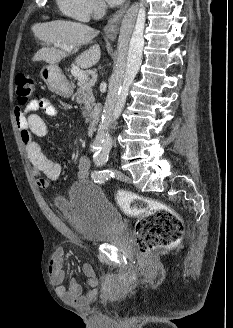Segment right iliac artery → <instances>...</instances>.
I'll return each instance as SVG.
<instances>
[{
  "instance_id": "82829eb1",
  "label": "right iliac artery",
  "mask_w": 233,
  "mask_h": 328,
  "mask_svg": "<svg viewBox=\"0 0 233 328\" xmlns=\"http://www.w3.org/2000/svg\"><path fill=\"white\" fill-rule=\"evenodd\" d=\"M92 151L93 152H96V151H98L99 149H101V147L100 146H98V145H92Z\"/></svg>"
}]
</instances>
